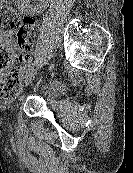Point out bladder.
I'll list each match as a JSON object with an SVG mask.
<instances>
[{"mask_svg": "<svg viewBox=\"0 0 133 173\" xmlns=\"http://www.w3.org/2000/svg\"><path fill=\"white\" fill-rule=\"evenodd\" d=\"M64 92L62 83L55 79L45 80L38 89V94L48 103H55L59 100Z\"/></svg>", "mask_w": 133, "mask_h": 173, "instance_id": "31cf9c89", "label": "bladder"}]
</instances>
